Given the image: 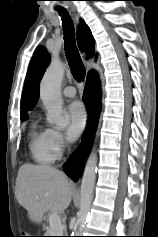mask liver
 <instances>
[{"label":"liver","instance_id":"1","mask_svg":"<svg viewBox=\"0 0 158 237\" xmlns=\"http://www.w3.org/2000/svg\"><path fill=\"white\" fill-rule=\"evenodd\" d=\"M74 186L60 170L46 165L23 164L16 179L15 196L28 211L29 219L40 224L45 213H62L69 206Z\"/></svg>","mask_w":158,"mask_h":237}]
</instances>
